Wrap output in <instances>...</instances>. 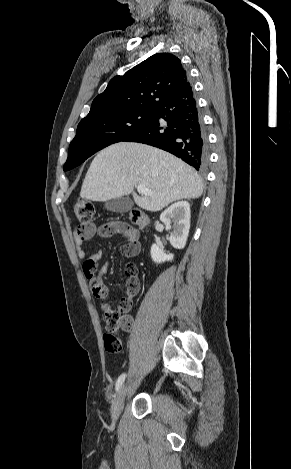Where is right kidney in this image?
<instances>
[{"label": "right kidney", "mask_w": 291, "mask_h": 469, "mask_svg": "<svg viewBox=\"0 0 291 469\" xmlns=\"http://www.w3.org/2000/svg\"><path fill=\"white\" fill-rule=\"evenodd\" d=\"M190 217V205L186 201L172 204L160 215V220L164 223L166 229H170L171 223H173V231L170 234L169 241L176 249H183L186 245L190 229ZM150 253L155 263L173 259V254H166L162 245L153 244Z\"/></svg>", "instance_id": "right-kidney-1"}]
</instances>
